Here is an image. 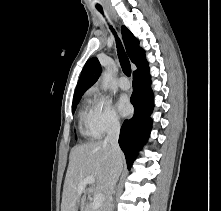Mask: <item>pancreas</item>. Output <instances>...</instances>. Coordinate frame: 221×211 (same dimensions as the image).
<instances>
[{"label":"pancreas","instance_id":"cf45deb5","mask_svg":"<svg viewBox=\"0 0 221 211\" xmlns=\"http://www.w3.org/2000/svg\"><path fill=\"white\" fill-rule=\"evenodd\" d=\"M84 211H104V206L93 208L91 205L87 206Z\"/></svg>","mask_w":221,"mask_h":211}]
</instances>
